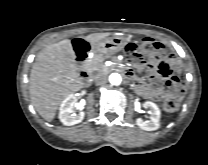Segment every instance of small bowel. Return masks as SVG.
Segmentation results:
<instances>
[{"label":"small bowel","instance_id":"c3829d8e","mask_svg":"<svg viewBox=\"0 0 208 165\" xmlns=\"http://www.w3.org/2000/svg\"><path fill=\"white\" fill-rule=\"evenodd\" d=\"M151 88L140 79H136V89L144 97L151 100L167 99L180 93L186 85V74L182 70L180 56L176 52H167L158 65L149 72Z\"/></svg>","mask_w":208,"mask_h":165}]
</instances>
